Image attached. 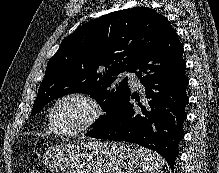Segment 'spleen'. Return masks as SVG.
I'll list each match as a JSON object with an SVG mask.
<instances>
[{"label":"spleen","instance_id":"spleen-1","mask_svg":"<svg viewBox=\"0 0 219 173\" xmlns=\"http://www.w3.org/2000/svg\"><path fill=\"white\" fill-rule=\"evenodd\" d=\"M135 153L141 162L143 173H159L165 164L164 159L159 154L146 148L137 146Z\"/></svg>","mask_w":219,"mask_h":173}]
</instances>
